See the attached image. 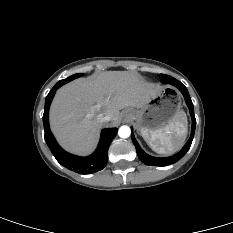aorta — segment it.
<instances>
[{
	"mask_svg": "<svg viewBox=\"0 0 233 233\" xmlns=\"http://www.w3.org/2000/svg\"><path fill=\"white\" fill-rule=\"evenodd\" d=\"M131 134V129L129 126L123 125L118 130V135L121 138H128Z\"/></svg>",
	"mask_w": 233,
	"mask_h": 233,
	"instance_id": "obj_1",
	"label": "aorta"
}]
</instances>
